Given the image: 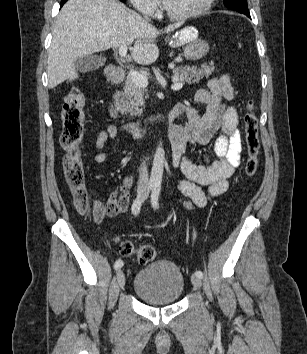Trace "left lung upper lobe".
I'll use <instances>...</instances> for the list:
<instances>
[{"label": "left lung upper lobe", "mask_w": 307, "mask_h": 354, "mask_svg": "<svg viewBox=\"0 0 307 354\" xmlns=\"http://www.w3.org/2000/svg\"><path fill=\"white\" fill-rule=\"evenodd\" d=\"M224 4L230 9L236 10L246 16H250L247 0H224Z\"/></svg>", "instance_id": "left-lung-upper-lobe-1"}]
</instances>
